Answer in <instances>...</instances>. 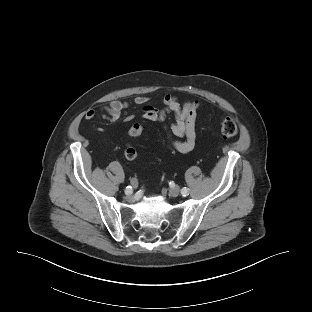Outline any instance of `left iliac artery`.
Listing matches in <instances>:
<instances>
[{
  "label": "left iliac artery",
  "instance_id": "obj_1",
  "mask_svg": "<svg viewBox=\"0 0 312 312\" xmlns=\"http://www.w3.org/2000/svg\"><path fill=\"white\" fill-rule=\"evenodd\" d=\"M188 190H189V189H188V188H186V187L182 188V190H181V194H182L183 196L188 195V194H189V191H188Z\"/></svg>",
  "mask_w": 312,
  "mask_h": 312
}]
</instances>
